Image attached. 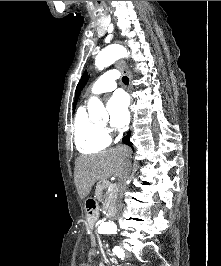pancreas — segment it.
I'll use <instances>...</instances> for the list:
<instances>
[{"label":"pancreas","instance_id":"pancreas-1","mask_svg":"<svg viewBox=\"0 0 221 266\" xmlns=\"http://www.w3.org/2000/svg\"><path fill=\"white\" fill-rule=\"evenodd\" d=\"M109 185H111V183L107 180L99 181L96 186V197L100 202L108 201L110 207H112L117 199L118 189L115 188L113 191L108 193L106 190L108 189Z\"/></svg>","mask_w":221,"mask_h":266}]
</instances>
